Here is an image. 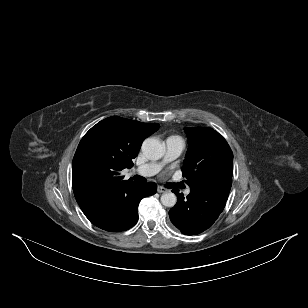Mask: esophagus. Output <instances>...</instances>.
I'll list each match as a JSON object with an SVG mask.
<instances>
[{
	"label": "esophagus",
	"instance_id": "obj_1",
	"mask_svg": "<svg viewBox=\"0 0 308 308\" xmlns=\"http://www.w3.org/2000/svg\"><path fill=\"white\" fill-rule=\"evenodd\" d=\"M157 191H158L159 193H164V192L167 191V189H165L164 187L158 186Z\"/></svg>",
	"mask_w": 308,
	"mask_h": 308
}]
</instances>
